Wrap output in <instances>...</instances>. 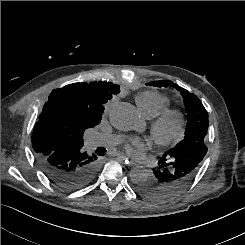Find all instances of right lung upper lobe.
Returning a JSON list of instances; mask_svg holds the SVG:
<instances>
[{
  "label": "right lung upper lobe",
  "instance_id": "obj_1",
  "mask_svg": "<svg viewBox=\"0 0 245 245\" xmlns=\"http://www.w3.org/2000/svg\"><path fill=\"white\" fill-rule=\"evenodd\" d=\"M119 92L111 82L73 83L53 90L32 133L37 156L83 146L84 131L100 123L104 104Z\"/></svg>",
  "mask_w": 245,
  "mask_h": 245
}]
</instances>
